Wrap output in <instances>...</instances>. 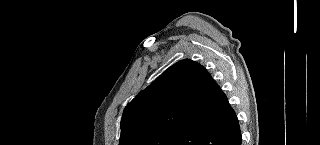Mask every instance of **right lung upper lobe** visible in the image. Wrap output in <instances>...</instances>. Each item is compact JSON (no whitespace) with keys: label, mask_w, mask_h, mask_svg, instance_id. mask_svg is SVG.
<instances>
[{"label":"right lung upper lobe","mask_w":320,"mask_h":145,"mask_svg":"<svg viewBox=\"0 0 320 145\" xmlns=\"http://www.w3.org/2000/svg\"><path fill=\"white\" fill-rule=\"evenodd\" d=\"M223 95L202 65L181 60L125 107L119 145H134L151 133L203 122L218 111Z\"/></svg>","instance_id":"1"}]
</instances>
